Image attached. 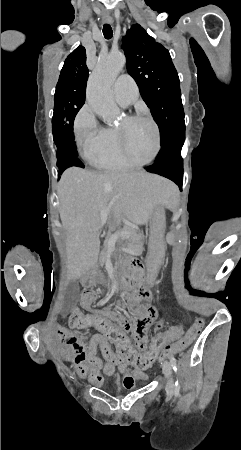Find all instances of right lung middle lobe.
Returning <instances> with one entry per match:
<instances>
[{
	"mask_svg": "<svg viewBox=\"0 0 241 450\" xmlns=\"http://www.w3.org/2000/svg\"><path fill=\"white\" fill-rule=\"evenodd\" d=\"M86 96V83H57L54 98V113L52 119L53 138L57 146L58 173L71 167L67 156V139L69 129L79 109L83 106Z\"/></svg>",
	"mask_w": 241,
	"mask_h": 450,
	"instance_id": "right-lung-middle-lobe-1",
	"label": "right lung middle lobe"
}]
</instances>
